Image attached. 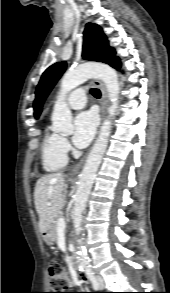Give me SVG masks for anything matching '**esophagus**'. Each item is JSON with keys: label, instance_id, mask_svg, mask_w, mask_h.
<instances>
[{"label": "esophagus", "instance_id": "obj_1", "mask_svg": "<svg viewBox=\"0 0 170 293\" xmlns=\"http://www.w3.org/2000/svg\"><path fill=\"white\" fill-rule=\"evenodd\" d=\"M94 84L100 89V91H101V99H100V117H101V120H103L104 119V117H105V113H106V108H107V90H106V87H105V85L100 81V80H98V79H96V80H94ZM85 159H86V155L85 156H83L73 167H72V169H71V171H70V174L72 175V176H76L79 172H80V170H81V168H82V166H83V164H84V162H85Z\"/></svg>", "mask_w": 170, "mask_h": 293}]
</instances>
